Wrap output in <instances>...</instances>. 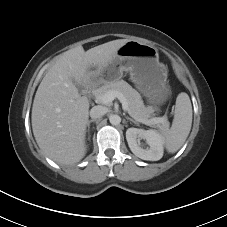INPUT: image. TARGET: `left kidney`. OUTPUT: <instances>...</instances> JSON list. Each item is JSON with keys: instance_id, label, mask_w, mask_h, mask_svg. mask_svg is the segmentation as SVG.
<instances>
[{"instance_id": "obj_1", "label": "left kidney", "mask_w": 227, "mask_h": 227, "mask_svg": "<svg viewBox=\"0 0 227 227\" xmlns=\"http://www.w3.org/2000/svg\"><path fill=\"white\" fill-rule=\"evenodd\" d=\"M139 138L145 139L149 148L140 147ZM126 139L133 154L143 160L158 161L163 156V136L156 130L128 128Z\"/></svg>"}]
</instances>
